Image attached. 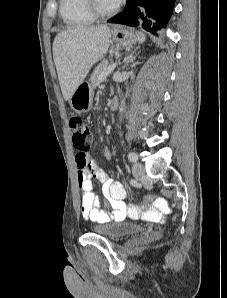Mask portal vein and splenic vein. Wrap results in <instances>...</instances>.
<instances>
[{"label": "portal vein and splenic vein", "instance_id": "obj_1", "mask_svg": "<svg viewBox=\"0 0 227 298\" xmlns=\"http://www.w3.org/2000/svg\"><path fill=\"white\" fill-rule=\"evenodd\" d=\"M116 66H117V63H112L111 65H109L100 75L99 77L100 82L104 81L107 78V76L113 72Z\"/></svg>", "mask_w": 227, "mask_h": 298}]
</instances>
